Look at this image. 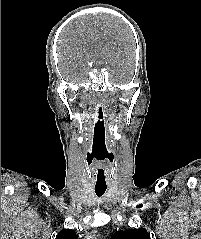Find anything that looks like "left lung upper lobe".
<instances>
[{
	"instance_id": "5c2ea615",
	"label": "left lung upper lobe",
	"mask_w": 201,
	"mask_h": 239,
	"mask_svg": "<svg viewBox=\"0 0 201 239\" xmlns=\"http://www.w3.org/2000/svg\"><path fill=\"white\" fill-rule=\"evenodd\" d=\"M111 239H150V235L144 228L129 229L115 232Z\"/></svg>"
}]
</instances>
